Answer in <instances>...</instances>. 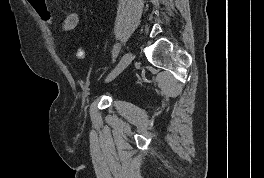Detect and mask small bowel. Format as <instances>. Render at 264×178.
Returning <instances> with one entry per match:
<instances>
[{
	"label": "small bowel",
	"mask_w": 264,
	"mask_h": 178,
	"mask_svg": "<svg viewBox=\"0 0 264 178\" xmlns=\"http://www.w3.org/2000/svg\"><path fill=\"white\" fill-rule=\"evenodd\" d=\"M78 1V0H76ZM79 23V14L77 11H71L61 22V29L64 32H70L77 27Z\"/></svg>",
	"instance_id": "1"
}]
</instances>
